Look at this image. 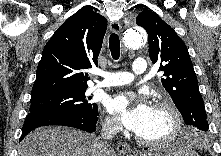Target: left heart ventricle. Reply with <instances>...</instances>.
<instances>
[{"mask_svg":"<svg viewBox=\"0 0 221 156\" xmlns=\"http://www.w3.org/2000/svg\"><path fill=\"white\" fill-rule=\"evenodd\" d=\"M170 129V115L164 110L153 108L152 117L149 123L139 135L150 139L159 138L166 135Z\"/></svg>","mask_w":221,"mask_h":156,"instance_id":"1","label":"left heart ventricle"}]
</instances>
